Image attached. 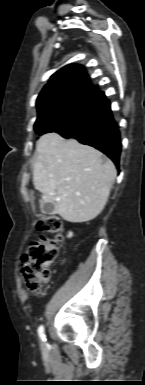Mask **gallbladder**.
<instances>
[{
  "mask_svg": "<svg viewBox=\"0 0 145 385\" xmlns=\"http://www.w3.org/2000/svg\"><path fill=\"white\" fill-rule=\"evenodd\" d=\"M41 211L44 214L51 215L55 213V208L52 203H42L41 204Z\"/></svg>",
  "mask_w": 145,
  "mask_h": 385,
  "instance_id": "gallbladder-1",
  "label": "gallbladder"
}]
</instances>
